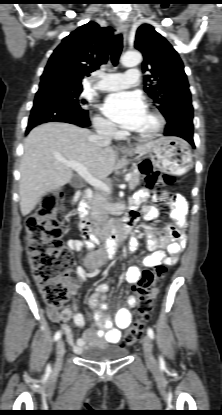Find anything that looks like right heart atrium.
Masks as SVG:
<instances>
[{"mask_svg":"<svg viewBox=\"0 0 222 415\" xmlns=\"http://www.w3.org/2000/svg\"><path fill=\"white\" fill-rule=\"evenodd\" d=\"M94 127L100 134L115 135L117 133L116 127L107 119L96 116L93 119Z\"/></svg>","mask_w":222,"mask_h":415,"instance_id":"d8ad5b80","label":"right heart atrium"}]
</instances>
